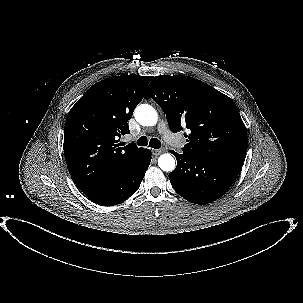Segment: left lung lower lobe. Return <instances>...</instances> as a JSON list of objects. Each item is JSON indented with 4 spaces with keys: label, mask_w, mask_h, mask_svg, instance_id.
Listing matches in <instances>:
<instances>
[{
    "label": "left lung lower lobe",
    "mask_w": 303,
    "mask_h": 303,
    "mask_svg": "<svg viewBox=\"0 0 303 303\" xmlns=\"http://www.w3.org/2000/svg\"><path fill=\"white\" fill-rule=\"evenodd\" d=\"M172 153L177 159L176 169L169 173L173 189L189 202L211 203L232 186L243 162L229 159H211Z\"/></svg>",
    "instance_id": "0a47b994"
}]
</instances>
